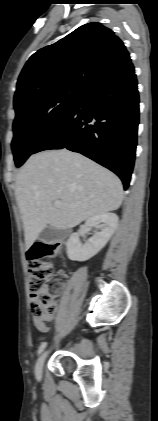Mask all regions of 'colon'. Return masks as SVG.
<instances>
[{
	"label": "colon",
	"instance_id": "1",
	"mask_svg": "<svg viewBox=\"0 0 158 421\" xmlns=\"http://www.w3.org/2000/svg\"><path fill=\"white\" fill-rule=\"evenodd\" d=\"M61 252L59 243H36L27 251L31 309L38 319L52 316L56 311V296L62 282L54 274L51 259Z\"/></svg>",
	"mask_w": 158,
	"mask_h": 421
}]
</instances>
